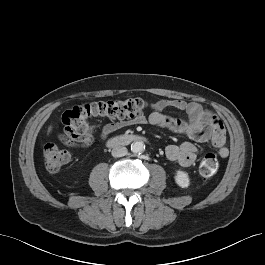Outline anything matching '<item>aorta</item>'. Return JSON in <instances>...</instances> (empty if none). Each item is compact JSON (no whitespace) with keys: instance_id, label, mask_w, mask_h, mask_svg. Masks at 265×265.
<instances>
[{"instance_id":"1","label":"aorta","mask_w":265,"mask_h":265,"mask_svg":"<svg viewBox=\"0 0 265 265\" xmlns=\"http://www.w3.org/2000/svg\"><path fill=\"white\" fill-rule=\"evenodd\" d=\"M145 150V144L142 141H136L131 144V151L136 154L143 153Z\"/></svg>"}]
</instances>
